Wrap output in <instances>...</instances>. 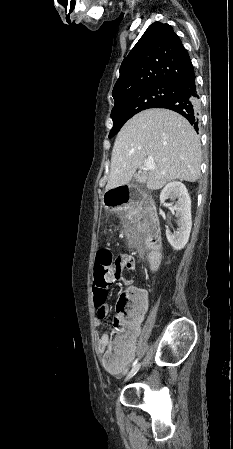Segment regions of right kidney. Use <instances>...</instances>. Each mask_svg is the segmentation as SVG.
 <instances>
[{"instance_id":"right-kidney-1","label":"right kidney","mask_w":233,"mask_h":449,"mask_svg":"<svg viewBox=\"0 0 233 449\" xmlns=\"http://www.w3.org/2000/svg\"><path fill=\"white\" fill-rule=\"evenodd\" d=\"M177 199L173 209L176 211L178 217V231L171 233L169 229L166 230V237L170 245L175 250H181L185 247L189 240L192 220H191V199L185 185L181 182H171L167 184L160 194L161 204L166 199Z\"/></svg>"}]
</instances>
